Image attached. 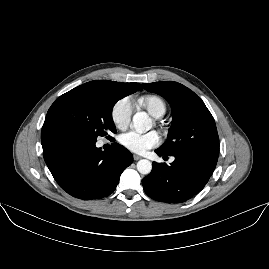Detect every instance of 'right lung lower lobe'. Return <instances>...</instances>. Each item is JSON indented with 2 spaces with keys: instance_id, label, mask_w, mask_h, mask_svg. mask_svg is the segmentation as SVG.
Listing matches in <instances>:
<instances>
[{
  "instance_id": "obj_1",
  "label": "right lung lower lobe",
  "mask_w": 269,
  "mask_h": 269,
  "mask_svg": "<svg viewBox=\"0 0 269 269\" xmlns=\"http://www.w3.org/2000/svg\"><path fill=\"white\" fill-rule=\"evenodd\" d=\"M41 142L45 162L59 186L82 200L100 199L116 188L132 154L115 143L102 151L96 141L85 139L71 126L45 121Z\"/></svg>"
}]
</instances>
